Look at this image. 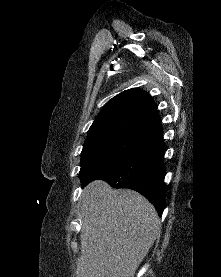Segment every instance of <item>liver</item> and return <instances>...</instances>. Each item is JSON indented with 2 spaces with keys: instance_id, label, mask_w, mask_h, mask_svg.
<instances>
[{
  "instance_id": "liver-1",
  "label": "liver",
  "mask_w": 221,
  "mask_h": 277,
  "mask_svg": "<svg viewBox=\"0 0 221 277\" xmlns=\"http://www.w3.org/2000/svg\"><path fill=\"white\" fill-rule=\"evenodd\" d=\"M81 256L76 277H134L160 235L154 206L129 189L88 184L81 196Z\"/></svg>"
}]
</instances>
